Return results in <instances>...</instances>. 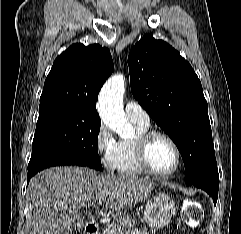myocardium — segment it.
<instances>
[{
  "mask_svg": "<svg viewBox=\"0 0 241 234\" xmlns=\"http://www.w3.org/2000/svg\"><path fill=\"white\" fill-rule=\"evenodd\" d=\"M158 137L166 139L172 145L176 153V164L174 168L168 172L157 171L156 169L153 168L149 160L150 145L152 141ZM136 150H137L138 162L141 165V167L144 169L145 172L155 177H160V178L170 177L178 171L181 165V161H182L181 149L178 143L176 142V140L166 132L156 130V129H148L145 132L139 134L136 138Z\"/></svg>",
  "mask_w": 241,
  "mask_h": 234,
  "instance_id": "1",
  "label": "myocardium"
}]
</instances>
